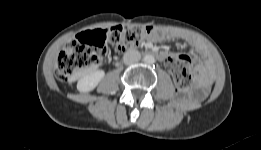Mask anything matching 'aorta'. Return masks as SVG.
<instances>
[{
	"label": "aorta",
	"instance_id": "aorta-1",
	"mask_svg": "<svg viewBox=\"0 0 261 150\" xmlns=\"http://www.w3.org/2000/svg\"><path fill=\"white\" fill-rule=\"evenodd\" d=\"M143 60L148 65H151V64L155 63V58H154L153 55H145Z\"/></svg>",
	"mask_w": 261,
	"mask_h": 150
}]
</instances>
